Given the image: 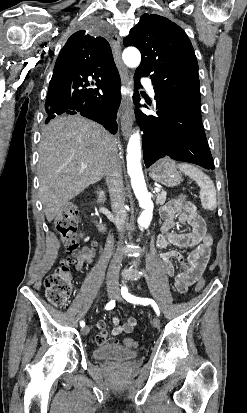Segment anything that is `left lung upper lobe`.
I'll use <instances>...</instances> for the list:
<instances>
[{"mask_svg":"<svg viewBox=\"0 0 247 413\" xmlns=\"http://www.w3.org/2000/svg\"><path fill=\"white\" fill-rule=\"evenodd\" d=\"M142 55L136 74L150 76L155 96H172L201 107L198 63L184 30L169 19L144 14L123 40Z\"/></svg>","mask_w":247,"mask_h":413,"instance_id":"1","label":"left lung upper lobe"}]
</instances>
